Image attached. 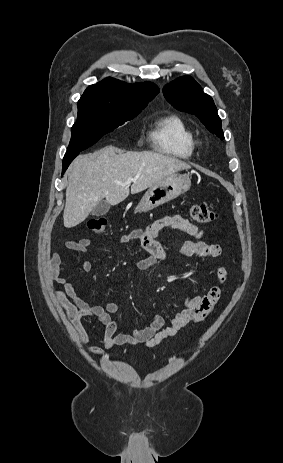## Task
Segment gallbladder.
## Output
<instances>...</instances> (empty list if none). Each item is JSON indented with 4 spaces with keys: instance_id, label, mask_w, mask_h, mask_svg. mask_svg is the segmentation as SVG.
<instances>
[{
    "instance_id": "1",
    "label": "gallbladder",
    "mask_w": 283,
    "mask_h": 463,
    "mask_svg": "<svg viewBox=\"0 0 283 463\" xmlns=\"http://www.w3.org/2000/svg\"><path fill=\"white\" fill-rule=\"evenodd\" d=\"M110 209V204L106 200H101L98 204L93 208L91 214L93 216H102L105 215Z\"/></svg>"
}]
</instances>
